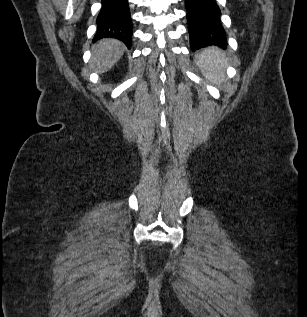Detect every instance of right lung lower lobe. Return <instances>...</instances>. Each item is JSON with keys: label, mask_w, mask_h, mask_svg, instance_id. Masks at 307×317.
I'll use <instances>...</instances> for the list:
<instances>
[{"label": "right lung lower lobe", "mask_w": 307, "mask_h": 317, "mask_svg": "<svg viewBox=\"0 0 307 317\" xmlns=\"http://www.w3.org/2000/svg\"><path fill=\"white\" fill-rule=\"evenodd\" d=\"M97 32L93 41L111 37L121 40L128 48L132 44V21L128 0H102L97 17Z\"/></svg>", "instance_id": "98d812e1"}]
</instances>
